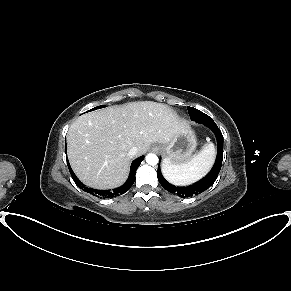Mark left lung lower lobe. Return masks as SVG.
<instances>
[{"mask_svg": "<svg viewBox=\"0 0 291 291\" xmlns=\"http://www.w3.org/2000/svg\"><path fill=\"white\" fill-rule=\"evenodd\" d=\"M192 118H193L192 120H194L195 122L203 124L207 126L208 128H210L215 134L216 139H217V145H218L217 158H216L213 168L204 178L194 183L193 185H190L187 187H176L168 183L162 176V173L160 170V164L158 165L157 176H158V181L161 184V186L172 194L178 193V196L183 197V198L192 197L207 190L217 179L221 166H222V161H223V135L220 129L218 128V126L216 125V123L213 121V119L210 116L206 115L205 113L199 110L197 113H194L192 115ZM177 188L179 190H177Z\"/></svg>", "mask_w": 291, "mask_h": 291, "instance_id": "obj_1", "label": "left lung lower lobe"}]
</instances>
